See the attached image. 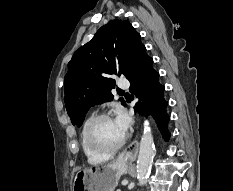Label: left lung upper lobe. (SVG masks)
<instances>
[{
    "instance_id": "1",
    "label": "left lung upper lobe",
    "mask_w": 233,
    "mask_h": 191,
    "mask_svg": "<svg viewBox=\"0 0 233 191\" xmlns=\"http://www.w3.org/2000/svg\"><path fill=\"white\" fill-rule=\"evenodd\" d=\"M146 57L140 34L128 21L112 20L102 26L68 63L64 101L72 124L81 126L90 107L113 99L115 80L110 75L128 79L132 73L127 64L134 72Z\"/></svg>"
}]
</instances>
